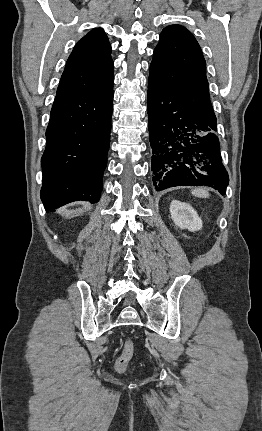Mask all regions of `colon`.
<instances>
[{
    "mask_svg": "<svg viewBox=\"0 0 262 431\" xmlns=\"http://www.w3.org/2000/svg\"><path fill=\"white\" fill-rule=\"evenodd\" d=\"M134 355V341L127 339L124 343L122 353L116 359L115 368L118 372L123 373L127 370L128 364Z\"/></svg>",
    "mask_w": 262,
    "mask_h": 431,
    "instance_id": "colon-1",
    "label": "colon"
}]
</instances>
